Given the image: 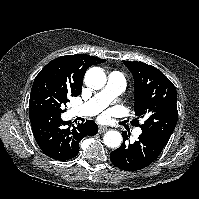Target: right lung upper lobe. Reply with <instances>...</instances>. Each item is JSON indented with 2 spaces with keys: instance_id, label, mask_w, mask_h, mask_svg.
<instances>
[{
  "instance_id": "right-lung-upper-lobe-1",
  "label": "right lung upper lobe",
  "mask_w": 199,
  "mask_h": 199,
  "mask_svg": "<svg viewBox=\"0 0 199 199\" xmlns=\"http://www.w3.org/2000/svg\"><path fill=\"white\" fill-rule=\"evenodd\" d=\"M106 62L85 54L66 55L48 63L36 76L34 84L52 83L67 90L73 96L81 93L86 70L96 64Z\"/></svg>"
}]
</instances>
